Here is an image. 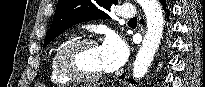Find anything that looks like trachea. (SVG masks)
<instances>
[{
	"instance_id": "obj_1",
	"label": "trachea",
	"mask_w": 205,
	"mask_h": 87,
	"mask_svg": "<svg viewBox=\"0 0 205 87\" xmlns=\"http://www.w3.org/2000/svg\"><path fill=\"white\" fill-rule=\"evenodd\" d=\"M129 22H137V18L136 17L132 18V19L129 20Z\"/></svg>"
}]
</instances>
